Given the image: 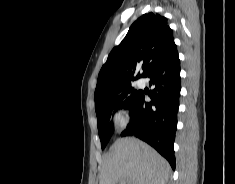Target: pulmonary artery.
Listing matches in <instances>:
<instances>
[{
	"instance_id": "1",
	"label": "pulmonary artery",
	"mask_w": 235,
	"mask_h": 184,
	"mask_svg": "<svg viewBox=\"0 0 235 184\" xmlns=\"http://www.w3.org/2000/svg\"><path fill=\"white\" fill-rule=\"evenodd\" d=\"M138 85L141 86V87H144L145 86V82L142 79H140L138 81Z\"/></svg>"
}]
</instances>
